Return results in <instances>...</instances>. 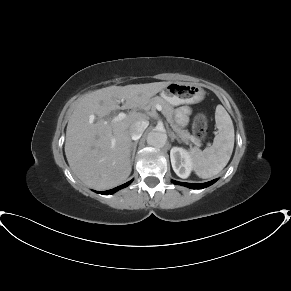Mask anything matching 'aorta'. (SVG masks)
<instances>
[{
	"mask_svg": "<svg viewBox=\"0 0 291 291\" xmlns=\"http://www.w3.org/2000/svg\"><path fill=\"white\" fill-rule=\"evenodd\" d=\"M167 134L163 129H154L148 133L147 143L153 147L161 148L166 144Z\"/></svg>",
	"mask_w": 291,
	"mask_h": 291,
	"instance_id": "obj_1",
	"label": "aorta"
}]
</instances>
